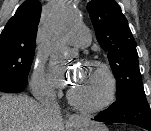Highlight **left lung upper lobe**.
<instances>
[{
	"label": "left lung upper lobe",
	"instance_id": "obj_1",
	"mask_svg": "<svg viewBox=\"0 0 151 131\" xmlns=\"http://www.w3.org/2000/svg\"><path fill=\"white\" fill-rule=\"evenodd\" d=\"M97 41L108 52L116 78V101L133 91H144L136 42L115 0H92L87 4Z\"/></svg>",
	"mask_w": 151,
	"mask_h": 131
}]
</instances>
